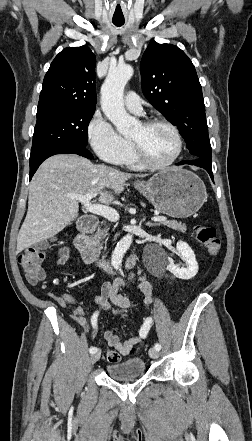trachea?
<instances>
[{
  "label": "trachea",
  "mask_w": 252,
  "mask_h": 441,
  "mask_svg": "<svg viewBox=\"0 0 252 441\" xmlns=\"http://www.w3.org/2000/svg\"><path fill=\"white\" fill-rule=\"evenodd\" d=\"M113 24L120 27L124 24V21H113Z\"/></svg>",
  "instance_id": "obj_1"
}]
</instances>
